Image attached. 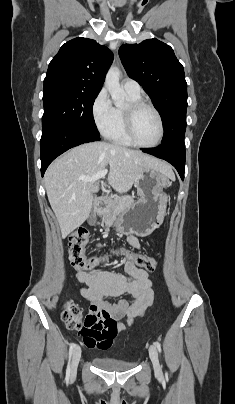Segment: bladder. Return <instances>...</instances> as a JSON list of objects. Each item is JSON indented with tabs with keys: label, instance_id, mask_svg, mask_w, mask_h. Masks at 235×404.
I'll list each match as a JSON object with an SVG mask.
<instances>
[{
	"label": "bladder",
	"instance_id": "bladder-1",
	"mask_svg": "<svg viewBox=\"0 0 235 404\" xmlns=\"http://www.w3.org/2000/svg\"><path fill=\"white\" fill-rule=\"evenodd\" d=\"M93 364L106 371L123 372L132 369L135 365L134 362L122 361L111 356L94 357Z\"/></svg>",
	"mask_w": 235,
	"mask_h": 404
}]
</instances>
